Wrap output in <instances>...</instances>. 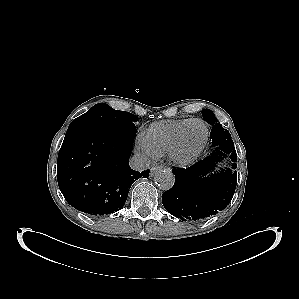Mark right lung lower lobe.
I'll return each instance as SVG.
<instances>
[{
    "label": "right lung lower lobe",
    "mask_w": 299,
    "mask_h": 299,
    "mask_svg": "<svg viewBox=\"0 0 299 299\" xmlns=\"http://www.w3.org/2000/svg\"><path fill=\"white\" fill-rule=\"evenodd\" d=\"M136 129L104 128L66 132L57 160V180L66 201L93 216L119 211L129 189L149 170L130 168Z\"/></svg>",
    "instance_id": "obj_1"
}]
</instances>
